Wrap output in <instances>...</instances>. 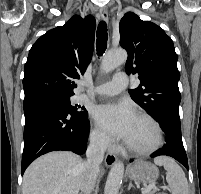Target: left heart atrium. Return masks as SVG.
Returning <instances> with one entry per match:
<instances>
[{
  "label": "left heart atrium",
  "instance_id": "1",
  "mask_svg": "<svg viewBox=\"0 0 201 194\" xmlns=\"http://www.w3.org/2000/svg\"><path fill=\"white\" fill-rule=\"evenodd\" d=\"M92 114L106 132L124 140L128 138L136 118L132 106L127 102L98 105Z\"/></svg>",
  "mask_w": 201,
  "mask_h": 194
}]
</instances>
